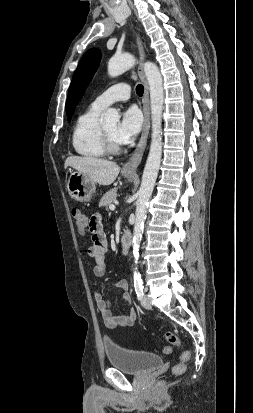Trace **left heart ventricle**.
I'll list each match as a JSON object with an SVG mask.
<instances>
[{
    "mask_svg": "<svg viewBox=\"0 0 253 413\" xmlns=\"http://www.w3.org/2000/svg\"><path fill=\"white\" fill-rule=\"evenodd\" d=\"M103 126L105 130L108 132V134L112 137V139L117 142L115 138V130L117 127V123L116 122L106 123Z\"/></svg>",
    "mask_w": 253,
    "mask_h": 413,
    "instance_id": "1",
    "label": "left heart ventricle"
}]
</instances>
